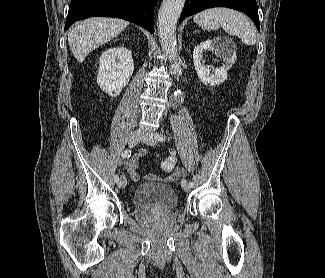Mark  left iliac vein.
<instances>
[{"mask_svg":"<svg viewBox=\"0 0 325 278\" xmlns=\"http://www.w3.org/2000/svg\"><path fill=\"white\" fill-rule=\"evenodd\" d=\"M142 142H144L145 144H148V145H156V140L153 136V133L151 132H145L143 135H142V138H141ZM181 186H182V189L185 191V192H190L191 190V187L189 185V183L187 182L186 179H182L181 181Z\"/></svg>","mask_w":325,"mask_h":278,"instance_id":"left-iliac-vein-1","label":"left iliac vein"}]
</instances>
